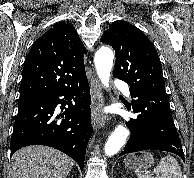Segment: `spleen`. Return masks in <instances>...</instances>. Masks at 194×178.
I'll list each match as a JSON object with an SVG mask.
<instances>
[{
    "label": "spleen",
    "mask_w": 194,
    "mask_h": 178,
    "mask_svg": "<svg viewBox=\"0 0 194 178\" xmlns=\"http://www.w3.org/2000/svg\"><path fill=\"white\" fill-rule=\"evenodd\" d=\"M156 177L138 173V178H182L181 168L177 160L171 155L163 157L154 169Z\"/></svg>",
    "instance_id": "1"
}]
</instances>
